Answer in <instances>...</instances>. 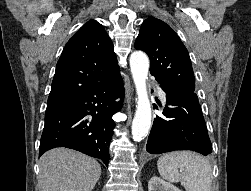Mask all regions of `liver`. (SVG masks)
I'll list each match as a JSON object with an SVG mask.
<instances>
[{"label":"liver","mask_w":251,"mask_h":191,"mask_svg":"<svg viewBox=\"0 0 251 191\" xmlns=\"http://www.w3.org/2000/svg\"><path fill=\"white\" fill-rule=\"evenodd\" d=\"M42 191H92L101 175L100 163L66 147L43 153L39 163Z\"/></svg>","instance_id":"liver-1"}]
</instances>
